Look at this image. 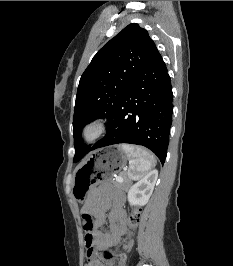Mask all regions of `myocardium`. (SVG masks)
Returning a JSON list of instances; mask_svg holds the SVG:
<instances>
[{
    "label": "myocardium",
    "instance_id": "f54148a6",
    "mask_svg": "<svg viewBox=\"0 0 233 266\" xmlns=\"http://www.w3.org/2000/svg\"><path fill=\"white\" fill-rule=\"evenodd\" d=\"M108 126V119L97 118L85 124L81 131V138L87 144L96 142L104 134Z\"/></svg>",
    "mask_w": 233,
    "mask_h": 266
}]
</instances>
